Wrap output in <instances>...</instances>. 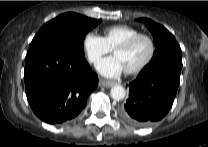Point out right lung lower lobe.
I'll return each instance as SVG.
<instances>
[{
  "instance_id": "right-lung-lower-lobe-1",
  "label": "right lung lower lobe",
  "mask_w": 208,
  "mask_h": 147,
  "mask_svg": "<svg viewBox=\"0 0 208 147\" xmlns=\"http://www.w3.org/2000/svg\"><path fill=\"white\" fill-rule=\"evenodd\" d=\"M24 80L33 112L49 124L75 118L98 85V77L85 57L59 46L27 54Z\"/></svg>"
}]
</instances>
